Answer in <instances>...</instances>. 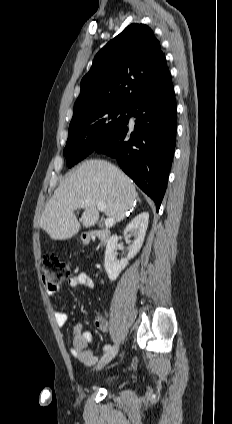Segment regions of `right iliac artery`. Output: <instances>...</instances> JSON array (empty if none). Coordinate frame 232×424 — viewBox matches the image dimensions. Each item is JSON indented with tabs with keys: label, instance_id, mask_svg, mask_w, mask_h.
<instances>
[{
	"label": "right iliac artery",
	"instance_id": "1",
	"mask_svg": "<svg viewBox=\"0 0 232 424\" xmlns=\"http://www.w3.org/2000/svg\"><path fill=\"white\" fill-rule=\"evenodd\" d=\"M110 348H111V345L108 344V345H105L104 346L103 350L104 351H108Z\"/></svg>",
	"mask_w": 232,
	"mask_h": 424
}]
</instances>
